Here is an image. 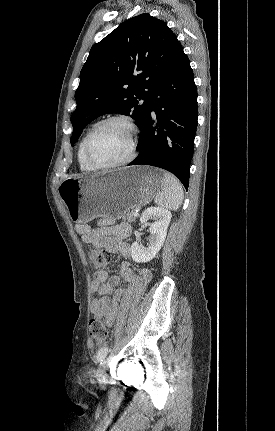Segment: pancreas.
I'll list each match as a JSON object with an SVG mask.
<instances>
[{
  "label": "pancreas",
  "instance_id": "cf45deb5",
  "mask_svg": "<svg viewBox=\"0 0 275 431\" xmlns=\"http://www.w3.org/2000/svg\"><path fill=\"white\" fill-rule=\"evenodd\" d=\"M123 219L124 220H127L128 222H134L135 221V219H136V216H134L133 215V213H130V212H128V213H126L124 216H123Z\"/></svg>",
  "mask_w": 275,
  "mask_h": 431
}]
</instances>
